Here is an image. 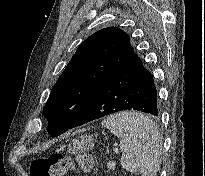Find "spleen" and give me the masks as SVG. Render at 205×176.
I'll return each mask as SVG.
<instances>
[{
	"instance_id": "spleen-1",
	"label": "spleen",
	"mask_w": 205,
	"mask_h": 176,
	"mask_svg": "<svg viewBox=\"0 0 205 176\" xmlns=\"http://www.w3.org/2000/svg\"><path fill=\"white\" fill-rule=\"evenodd\" d=\"M102 125L120 139L121 165L142 176H155L161 165L162 137L155 123L142 113L110 115Z\"/></svg>"
}]
</instances>
